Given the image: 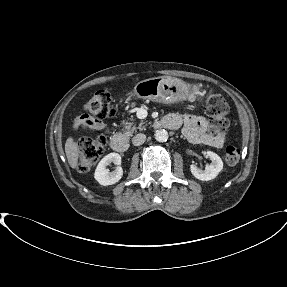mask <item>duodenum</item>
Masks as SVG:
<instances>
[{
  "label": "duodenum",
  "mask_w": 287,
  "mask_h": 287,
  "mask_svg": "<svg viewBox=\"0 0 287 287\" xmlns=\"http://www.w3.org/2000/svg\"><path fill=\"white\" fill-rule=\"evenodd\" d=\"M161 124L165 128H169V129L174 128V124L170 121L169 118H166V117L161 120ZM110 144H111L112 149L115 152H119V153L126 152L130 147L127 138L124 135L119 134V133L114 134L111 137Z\"/></svg>",
  "instance_id": "obj_1"
}]
</instances>
